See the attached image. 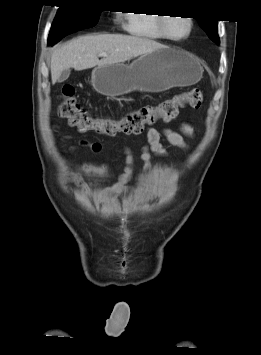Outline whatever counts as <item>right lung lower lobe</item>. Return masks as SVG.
Instances as JSON below:
<instances>
[{
	"label": "right lung lower lobe",
	"instance_id": "obj_1",
	"mask_svg": "<svg viewBox=\"0 0 261 355\" xmlns=\"http://www.w3.org/2000/svg\"><path fill=\"white\" fill-rule=\"evenodd\" d=\"M59 41V40H58ZM58 41H48V45H53L54 43L58 42Z\"/></svg>",
	"mask_w": 261,
	"mask_h": 355
}]
</instances>
